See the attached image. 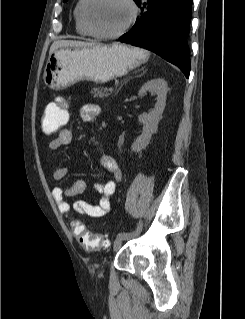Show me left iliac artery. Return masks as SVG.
Instances as JSON below:
<instances>
[{
  "mask_svg": "<svg viewBox=\"0 0 245 319\" xmlns=\"http://www.w3.org/2000/svg\"><path fill=\"white\" fill-rule=\"evenodd\" d=\"M140 231V227L138 226L136 230L132 231V232H123V233H119L117 235V237H125V238H131L136 236Z\"/></svg>",
  "mask_w": 245,
  "mask_h": 319,
  "instance_id": "44dca946",
  "label": "left iliac artery"
}]
</instances>
